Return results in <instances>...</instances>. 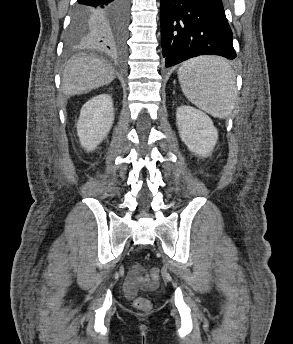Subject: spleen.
<instances>
[{
    "mask_svg": "<svg viewBox=\"0 0 293 344\" xmlns=\"http://www.w3.org/2000/svg\"><path fill=\"white\" fill-rule=\"evenodd\" d=\"M184 95L205 112L226 118L236 99L235 75L222 57L201 56L184 62L178 70Z\"/></svg>",
    "mask_w": 293,
    "mask_h": 344,
    "instance_id": "1",
    "label": "spleen"
}]
</instances>
